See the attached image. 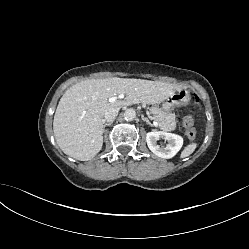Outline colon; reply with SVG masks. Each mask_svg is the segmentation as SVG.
Listing matches in <instances>:
<instances>
[{
    "mask_svg": "<svg viewBox=\"0 0 249 249\" xmlns=\"http://www.w3.org/2000/svg\"><path fill=\"white\" fill-rule=\"evenodd\" d=\"M197 100V98H195ZM183 126L187 129V137L192 140L195 137V128H194V116L192 113L189 115L185 116L183 119Z\"/></svg>",
    "mask_w": 249,
    "mask_h": 249,
    "instance_id": "5ec220e1",
    "label": "colon"
}]
</instances>
